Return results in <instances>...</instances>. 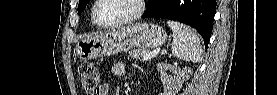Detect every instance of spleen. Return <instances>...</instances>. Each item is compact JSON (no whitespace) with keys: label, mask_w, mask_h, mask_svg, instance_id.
<instances>
[{"label":"spleen","mask_w":277,"mask_h":95,"mask_svg":"<svg viewBox=\"0 0 277 95\" xmlns=\"http://www.w3.org/2000/svg\"><path fill=\"white\" fill-rule=\"evenodd\" d=\"M173 32L172 54L176 58L188 62L202 60V47L199 38L186 25L179 22L168 21Z\"/></svg>","instance_id":"3e777b00"}]
</instances>
